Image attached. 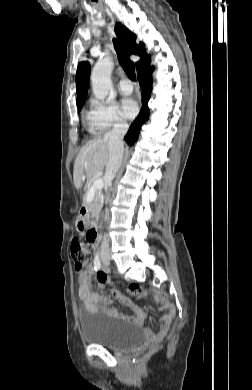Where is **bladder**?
Instances as JSON below:
<instances>
[{
	"label": "bladder",
	"instance_id": "bladder-1",
	"mask_svg": "<svg viewBox=\"0 0 252 390\" xmlns=\"http://www.w3.org/2000/svg\"><path fill=\"white\" fill-rule=\"evenodd\" d=\"M82 338L91 344L111 349H130L137 346L144 337L143 328L135 323L111 320L100 315L79 312Z\"/></svg>",
	"mask_w": 252,
	"mask_h": 390
}]
</instances>
